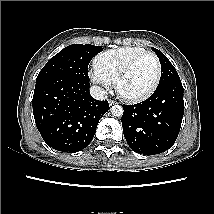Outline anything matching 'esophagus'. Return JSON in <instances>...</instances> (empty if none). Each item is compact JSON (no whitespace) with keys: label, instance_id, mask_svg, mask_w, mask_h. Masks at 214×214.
Here are the masks:
<instances>
[{"label":"esophagus","instance_id":"obj_1","mask_svg":"<svg viewBox=\"0 0 214 214\" xmlns=\"http://www.w3.org/2000/svg\"><path fill=\"white\" fill-rule=\"evenodd\" d=\"M117 102L116 101H114V100H109V105L110 106H112V105H114V104H116Z\"/></svg>","mask_w":214,"mask_h":214}]
</instances>
